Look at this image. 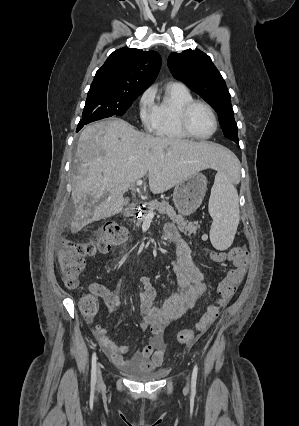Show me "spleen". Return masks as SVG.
Returning a JSON list of instances; mask_svg holds the SVG:
<instances>
[{
    "instance_id": "spleen-1",
    "label": "spleen",
    "mask_w": 299,
    "mask_h": 426,
    "mask_svg": "<svg viewBox=\"0 0 299 426\" xmlns=\"http://www.w3.org/2000/svg\"><path fill=\"white\" fill-rule=\"evenodd\" d=\"M209 213L213 218L210 241L215 249L226 250L233 243L240 211L237 190L225 169L219 170L215 176L209 199Z\"/></svg>"
}]
</instances>
